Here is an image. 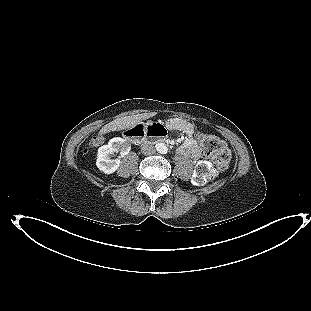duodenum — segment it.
I'll list each match as a JSON object with an SVG mask.
<instances>
[{
    "instance_id": "obj_1",
    "label": "duodenum",
    "mask_w": 311,
    "mask_h": 311,
    "mask_svg": "<svg viewBox=\"0 0 311 311\" xmlns=\"http://www.w3.org/2000/svg\"><path fill=\"white\" fill-rule=\"evenodd\" d=\"M129 140L136 145H139L143 142L149 140V138H156L159 141L164 140V136L160 134L159 129H150L147 127L137 128L129 131L127 133Z\"/></svg>"
}]
</instances>
